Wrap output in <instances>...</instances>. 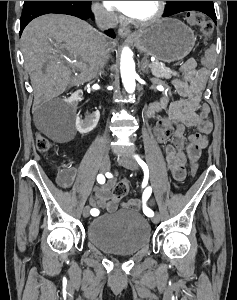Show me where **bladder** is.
I'll return each instance as SVG.
<instances>
[{"label":"bladder","instance_id":"bladder-1","mask_svg":"<svg viewBox=\"0 0 237 300\" xmlns=\"http://www.w3.org/2000/svg\"><path fill=\"white\" fill-rule=\"evenodd\" d=\"M86 237L103 252L132 255L149 244L151 227L141 213L123 209L117 215L93 219L87 227Z\"/></svg>","mask_w":237,"mask_h":300}]
</instances>
